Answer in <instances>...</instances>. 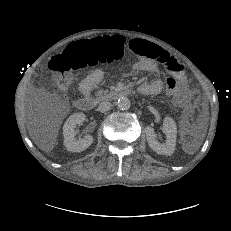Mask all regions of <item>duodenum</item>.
<instances>
[{"label":"duodenum","instance_id":"duodenum-1","mask_svg":"<svg viewBox=\"0 0 231 231\" xmlns=\"http://www.w3.org/2000/svg\"><path fill=\"white\" fill-rule=\"evenodd\" d=\"M131 92H132L131 88H125L123 90L114 91V92L104 94L100 98V100L107 99V100L115 101V100H118L124 96L130 95ZM97 101H98V99L95 97H90V96L81 97L77 100V107L82 111H91L95 107Z\"/></svg>","mask_w":231,"mask_h":231}]
</instances>
